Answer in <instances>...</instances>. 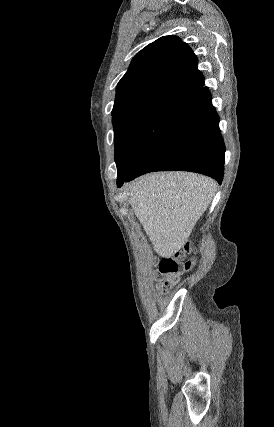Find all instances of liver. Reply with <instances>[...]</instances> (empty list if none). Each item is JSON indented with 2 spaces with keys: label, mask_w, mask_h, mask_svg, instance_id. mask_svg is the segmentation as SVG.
I'll use <instances>...</instances> for the list:
<instances>
[{
  "label": "liver",
  "mask_w": 274,
  "mask_h": 427,
  "mask_svg": "<svg viewBox=\"0 0 274 427\" xmlns=\"http://www.w3.org/2000/svg\"><path fill=\"white\" fill-rule=\"evenodd\" d=\"M125 188L153 249L162 257H171L183 247L208 208L216 184L199 174L158 172L141 176Z\"/></svg>",
  "instance_id": "6515ba94"
}]
</instances>
